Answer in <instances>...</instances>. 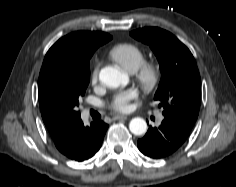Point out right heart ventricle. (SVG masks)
<instances>
[{
    "label": "right heart ventricle",
    "instance_id": "1",
    "mask_svg": "<svg viewBox=\"0 0 236 187\" xmlns=\"http://www.w3.org/2000/svg\"><path fill=\"white\" fill-rule=\"evenodd\" d=\"M109 57L124 71L134 73L145 62V53L137 45L119 43L109 50Z\"/></svg>",
    "mask_w": 236,
    "mask_h": 187
}]
</instances>
